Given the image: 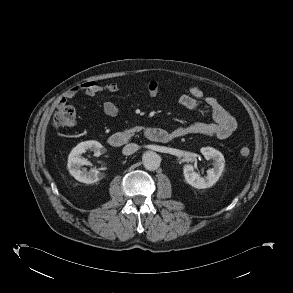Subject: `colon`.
I'll return each instance as SVG.
<instances>
[{"label": "colon", "mask_w": 293, "mask_h": 293, "mask_svg": "<svg viewBox=\"0 0 293 293\" xmlns=\"http://www.w3.org/2000/svg\"><path fill=\"white\" fill-rule=\"evenodd\" d=\"M75 119V111L73 107L62 103H59L57 105V108L53 115V125L56 128H64L66 126H69L74 122ZM240 156L243 158H247L250 155V149L247 147H243L239 151Z\"/></svg>", "instance_id": "obj_1"}]
</instances>
